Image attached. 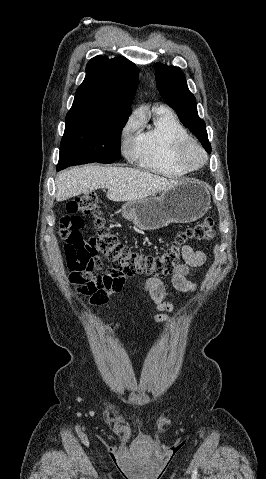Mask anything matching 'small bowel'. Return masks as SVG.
Listing matches in <instances>:
<instances>
[{"mask_svg":"<svg viewBox=\"0 0 266 479\" xmlns=\"http://www.w3.org/2000/svg\"><path fill=\"white\" fill-rule=\"evenodd\" d=\"M182 258L183 263L172 275V286L180 292H194L196 283L188 279V274L191 268L199 267L205 262V253L186 245L182 251ZM144 292L157 307L158 313L155 315V321L165 323L168 320V312L172 310V304L165 300L166 289L163 282L155 277L148 278L144 284ZM118 327L117 324H109L105 329L107 333H112Z\"/></svg>","mask_w":266,"mask_h":479,"instance_id":"small-bowel-1","label":"small bowel"}]
</instances>
